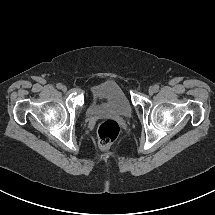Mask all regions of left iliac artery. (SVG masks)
<instances>
[{"label": "left iliac artery", "mask_w": 215, "mask_h": 215, "mask_svg": "<svg viewBox=\"0 0 215 215\" xmlns=\"http://www.w3.org/2000/svg\"><path fill=\"white\" fill-rule=\"evenodd\" d=\"M154 88H155L156 91H158L159 90V85H154Z\"/></svg>", "instance_id": "left-iliac-artery-1"}]
</instances>
